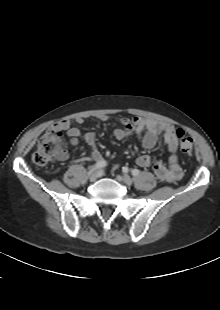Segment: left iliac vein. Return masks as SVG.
Masks as SVG:
<instances>
[{"label":"left iliac vein","instance_id":"4c4485c4","mask_svg":"<svg viewBox=\"0 0 220 310\" xmlns=\"http://www.w3.org/2000/svg\"><path fill=\"white\" fill-rule=\"evenodd\" d=\"M122 181L127 185H131L133 180L129 175L125 174L122 176Z\"/></svg>","mask_w":220,"mask_h":310}]
</instances>
